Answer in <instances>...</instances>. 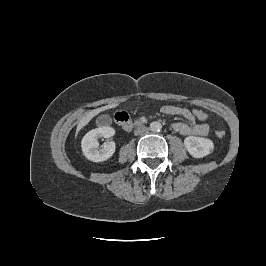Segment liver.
I'll return each instance as SVG.
<instances>
[{
	"instance_id": "liver-1",
	"label": "liver",
	"mask_w": 266,
	"mask_h": 266,
	"mask_svg": "<svg viewBox=\"0 0 266 266\" xmlns=\"http://www.w3.org/2000/svg\"><path fill=\"white\" fill-rule=\"evenodd\" d=\"M116 106H118L117 103H113L110 105H106L94 110H91L90 112L86 113L79 121L78 125H77V129H76V134L75 136H77L78 132L84 127L86 126L93 117H95L96 115H98L100 112L111 109V108H115Z\"/></svg>"
}]
</instances>
